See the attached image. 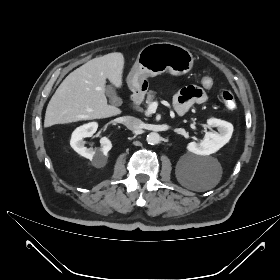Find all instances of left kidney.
Instances as JSON below:
<instances>
[{"mask_svg":"<svg viewBox=\"0 0 280 280\" xmlns=\"http://www.w3.org/2000/svg\"><path fill=\"white\" fill-rule=\"evenodd\" d=\"M207 124L209 127H216L218 132H206L204 139L200 143H188V151L201 156L210 155L217 152L229 142L233 133V125L231 123L216 118H210L207 120Z\"/></svg>","mask_w":280,"mask_h":280,"instance_id":"5707ae66","label":"left kidney"}]
</instances>
